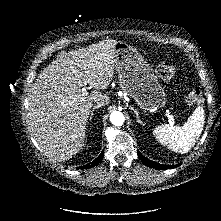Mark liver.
I'll return each mask as SVG.
<instances>
[{
    "label": "liver",
    "mask_w": 221,
    "mask_h": 221,
    "mask_svg": "<svg viewBox=\"0 0 221 221\" xmlns=\"http://www.w3.org/2000/svg\"><path fill=\"white\" fill-rule=\"evenodd\" d=\"M118 41H99L69 53L60 52L31 87L28 118L33 137L53 160L71 159L85 141V126L99 91L83 93L89 84L106 89L114 77L113 48Z\"/></svg>",
    "instance_id": "1"
}]
</instances>
